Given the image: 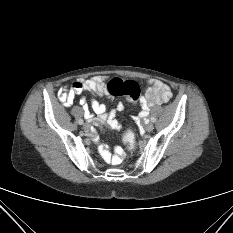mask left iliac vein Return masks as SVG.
I'll list each match as a JSON object with an SVG mask.
<instances>
[{
    "instance_id": "1",
    "label": "left iliac vein",
    "mask_w": 233,
    "mask_h": 233,
    "mask_svg": "<svg viewBox=\"0 0 233 233\" xmlns=\"http://www.w3.org/2000/svg\"><path fill=\"white\" fill-rule=\"evenodd\" d=\"M153 129H154V125H153L152 123H148V124L145 126V130H146L147 132H151V131H153Z\"/></svg>"
}]
</instances>
